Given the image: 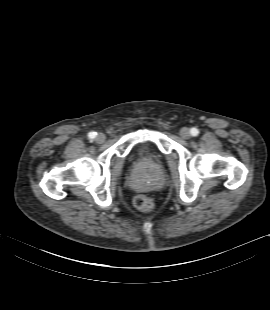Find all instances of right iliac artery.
I'll return each mask as SVG.
<instances>
[{
	"mask_svg": "<svg viewBox=\"0 0 270 310\" xmlns=\"http://www.w3.org/2000/svg\"><path fill=\"white\" fill-rule=\"evenodd\" d=\"M96 132H90L89 134H88V136H89V138L90 139H94L95 138V136H96Z\"/></svg>",
	"mask_w": 270,
	"mask_h": 310,
	"instance_id": "82829eb1",
	"label": "right iliac artery"
}]
</instances>
